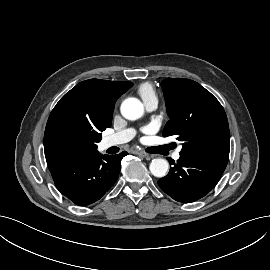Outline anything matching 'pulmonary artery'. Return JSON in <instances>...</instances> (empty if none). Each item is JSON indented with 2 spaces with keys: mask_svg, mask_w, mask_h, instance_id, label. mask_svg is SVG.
<instances>
[{
  "mask_svg": "<svg viewBox=\"0 0 270 270\" xmlns=\"http://www.w3.org/2000/svg\"><path fill=\"white\" fill-rule=\"evenodd\" d=\"M144 104L148 111H152L157 108L158 99L156 97L150 98L146 100ZM134 136H135V131L133 129L131 128L124 129L117 133L107 136L104 139V146L108 148L111 146L120 145V144L130 141ZM180 151H181V147H179L177 151L173 154V158L175 160H178L180 158Z\"/></svg>",
  "mask_w": 270,
  "mask_h": 270,
  "instance_id": "1",
  "label": "pulmonary artery"
}]
</instances>
